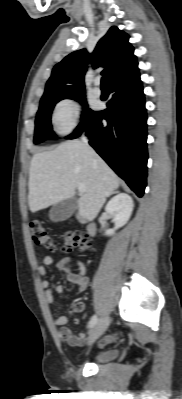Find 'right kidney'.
<instances>
[{"instance_id": "ca27d5eb", "label": "right kidney", "mask_w": 182, "mask_h": 399, "mask_svg": "<svg viewBox=\"0 0 182 399\" xmlns=\"http://www.w3.org/2000/svg\"><path fill=\"white\" fill-rule=\"evenodd\" d=\"M134 208L132 198L126 193H119L114 196L106 205L105 210L113 217L115 227L105 232V235L111 236L115 231L124 226L131 217Z\"/></svg>"}]
</instances>
